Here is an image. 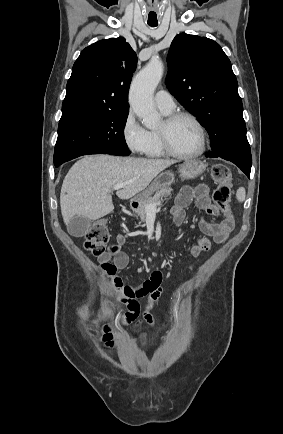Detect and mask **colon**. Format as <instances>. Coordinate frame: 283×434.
Segmentation results:
<instances>
[{
  "label": "colon",
  "mask_w": 283,
  "mask_h": 434,
  "mask_svg": "<svg viewBox=\"0 0 283 434\" xmlns=\"http://www.w3.org/2000/svg\"><path fill=\"white\" fill-rule=\"evenodd\" d=\"M211 175L213 181L217 184L213 193V201L216 206L226 215V218H232L230 209L231 202V171L224 164H216L212 167ZM110 238L109 230L105 220H99L95 223L85 235V247L95 256H101L106 253L107 244Z\"/></svg>",
  "instance_id": "1"
}]
</instances>
